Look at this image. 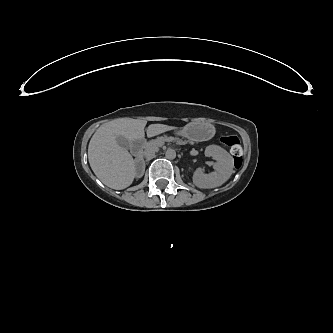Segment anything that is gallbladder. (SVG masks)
I'll list each match as a JSON object with an SVG mask.
<instances>
[{
	"label": "gallbladder",
	"instance_id": "1",
	"mask_svg": "<svg viewBox=\"0 0 333 333\" xmlns=\"http://www.w3.org/2000/svg\"><path fill=\"white\" fill-rule=\"evenodd\" d=\"M118 143H119V145L122 147V148H124V149H126V150H130V151H132L133 150V147H134V145H133V143L131 142V141H127V140H125V139H120L119 141H118Z\"/></svg>",
	"mask_w": 333,
	"mask_h": 333
}]
</instances>
